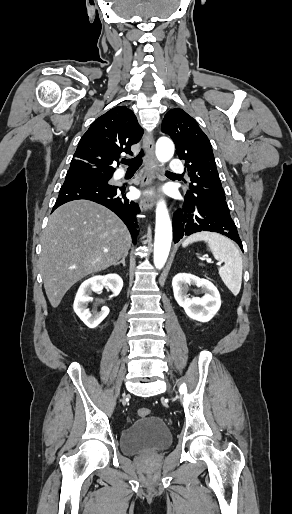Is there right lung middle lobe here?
<instances>
[{"instance_id":"1","label":"right lung middle lobe","mask_w":292,"mask_h":514,"mask_svg":"<svg viewBox=\"0 0 292 514\" xmlns=\"http://www.w3.org/2000/svg\"><path fill=\"white\" fill-rule=\"evenodd\" d=\"M113 174L100 173V172H87V173H67L66 179L72 178H86L98 181L108 182Z\"/></svg>"}]
</instances>
